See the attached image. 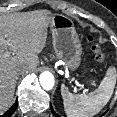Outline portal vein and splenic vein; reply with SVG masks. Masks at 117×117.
Listing matches in <instances>:
<instances>
[{"mask_svg": "<svg viewBox=\"0 0 117 117\" xmlns=\"http://www.w3.org/2000/svg\"><path fill=\"white\" fill-rule=\"evenodd\" d=\"M6 55H7V56H8V55H10V53H9V52H7V54H6Z\"/></svg>", "mask_w": 117, "mask_h": 117, "instance_id": "1", "label": "portal vein and splenic vein"}]
</instances>
